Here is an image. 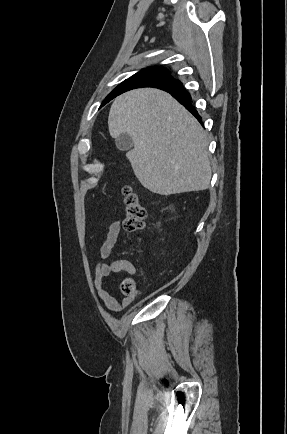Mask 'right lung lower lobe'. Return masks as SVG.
Wrapping results in <instances>:
<instances>
[{
	"mask_svg": "<svg viewBox=\"0 0 287 434\" xmlns=\"http://www.w3.org/2000/svg\"><path fill=\"white\" fill-rule=\"evenodd\" d=\"M160 89L169 92L175 99H177L186 109H188L200 122L201 117L198 112L195 110L191 103V96L182 86V83L179 81H175L166 85L165 87H160Z\"/></svg>",
	"mask_w": 287,
	"mask_h": 434,
	"instance_id": "1",
	"label": "right lung lower lobe"
}]
</instances>
